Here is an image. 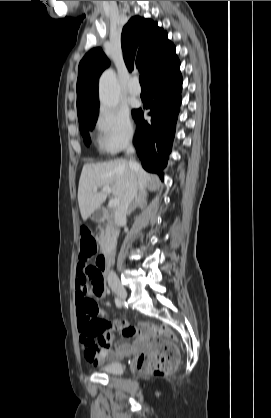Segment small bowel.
Returning <instances> with one entry per match:
<instances>
[{
    "label": "small bowel",
    "mask_w": 271,
    "mask_h": 418,
    "mask_svg": "<svg viewBox=\"0 0 271 418\" xmlns=\"http://www.w3.org/2000/svg\"><path fill=\"white\" fill-rule=\"evenodd\" d=\"M102 267L92 262H79L76 267L75 302L79 315L80 343L87 361L102 365L108 359H120L142 347L147 338L145 328L135 326L127 319H107L102 314L99 300L105 296ZM98 298V299H95ZM114 331L124 338L136 337L133 344L114 342Z\"/></svg>",
    "instance_id": "c3829d8e"
}]
</instances>
